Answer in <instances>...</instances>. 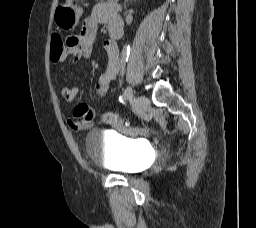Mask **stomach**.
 <instances>
[{"instance_id": "0dacf381", "label": "stomach", "mask_w": 256, "mask_h": 228, "mask_svg": "<svg viewBox=\"0 0 256 228\" xmlns=\"http://www.w3.org/2000/svg\"><path fill=\"white\" fill-rule=\"evenodd\" d=\"M75 0L67 1L66 4L58 6L53 13L56 26L63 30H72L78 24L83 13L82 8Z\"/></svg>"}]
</instances>
